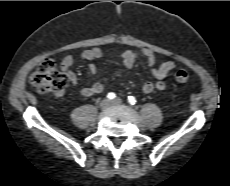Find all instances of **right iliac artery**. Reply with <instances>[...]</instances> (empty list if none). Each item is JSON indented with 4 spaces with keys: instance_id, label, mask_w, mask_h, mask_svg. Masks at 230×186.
<instances>
[{
    "instance_id": "obj_1",
    "label": "right iliac artery",
    "mask_w": 230,
    "mask_h": 186,
    "mask_svg": "<svg viewBox=\"0 0 230 186\" xmlns=\"http://www.w3.org/2000/svg\"><path fill=\"white\" fill-rule=\"evenodd\" d=\"M116 97V95L113 92L108 93L107 98L112 100Z\"/></svg>"
}]
</instances>
